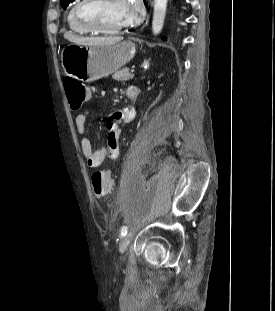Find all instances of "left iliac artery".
Segmentation results:
<instances>
[{
    "instance_id": "left-iliac-artery-1",
    "label": "left iliac artery",
    "mask_w": 275,
    "mask_h": 311,
    "mask_svg": "<svg viewBox=\"0 0 275 311\" xmlns=\"http://www.w3.org/2000/svg\"><path fill=\"white\" fill-rule=\"evenodd\" d=\"M127 232H128L127 226H123L121 228V236H125L127 234Z\"/></svg>"
}]
</instances>
